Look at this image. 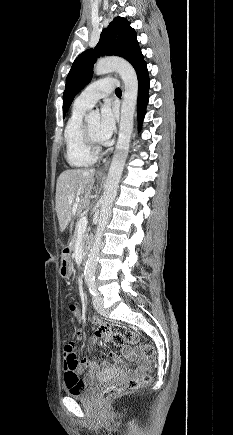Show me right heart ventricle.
I'll return each instance as SVG.
<instances>
[{
	"label": "right heart ventricle",
	"instance_id": "right-heart-ventricle-1",
	"mask_svg": "<svg viewBox=\"0 0 233 435\" xmlns=\"http://www.w3.org/2000/svg\"><path fill=\"white\" fill-rule=\"evenodd\" d=\"M87 109L74 105L64 129L65 157L75 168L89 167L97 157L88 149L83 137V116Z\"/></svg>",
	"mask_w": 233,
	"mask_h": 435
}]
</instances>
